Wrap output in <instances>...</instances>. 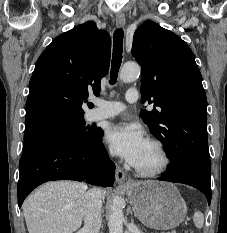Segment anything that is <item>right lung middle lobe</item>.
<instances>
[{"mask_svg":"<svg viewBox=\"0 0 227 233\" xmlns=\"http://www.w3.org/2000/svg\"><path fill=\"white\" fill-rule=\"evenodd\" d=\"M98 129L86 125L83 117L55 126L53 128L25 135L23 152L49 143H81L89 141L97 134Z\"/></svg>","mask_w":227,"mask_h":233,"instance_id":"obj_1","label":"right lung middle lobe"}]
</instances>
